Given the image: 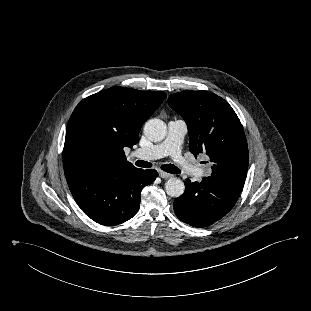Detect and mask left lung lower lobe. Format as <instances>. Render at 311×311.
Listing matches in <instances>:
<instances>
[{
  "instance_id": "1",
  "label": "left lung lower lobe",
  "mask_w": 311,
  "mask_h": 311,
  "mask_svg": "<svg viewBox=\"0 0 311 311\" xmlns=\"http://www.w3.org/2000/svg\"><path fill=\"white\" fill-rule=\"evenodd\" d=\"M241 192L212 177L201 182L185 181V192L175 199L177 217L194 227L209 226L224 217L235 205Z\"/></svg>"
}]
</instances>
